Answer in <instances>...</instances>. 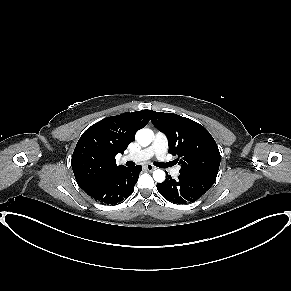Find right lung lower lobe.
Returning <instances> with one entry per match:
<instances>
[{
  "mask_svg": "<svg viewBox=\"0 0 291 291\" xmlns=\"http://www.w3.org/2000/svg\"><path fill=\"white\" fill-rule=\"evenodd\" d=\"M140 171V165L125 167L85 192L101 204L120 203L133 193Z\"/></svg>",
  "mask_w": 291,
  "mask_h": 291,
  "instance_id": "1",
  "label": "right lung lower lobe"
}]
</instances>
